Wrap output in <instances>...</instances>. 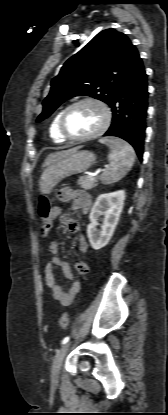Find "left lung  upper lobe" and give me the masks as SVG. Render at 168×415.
Here are the masks:
<instances>
[{
  "instance_id": "5c2ea615",
  "label": "left lung upper lobe",
  "mask_w": 168,
  "mask_h": 415,
  "mask_svg": "<svg viewBox=\"0 0 168 415\" xmlns=\"http://www.w3.org/2000/svg\"><path fill=\"white\" fill-rule=\"evenodd\" d=\"M139 58L136 47L125 34L115 29L100 32L69 58L53 78L37 122L75 96L87 95L109 105Z\"/></svg>"
}]
</instances>
